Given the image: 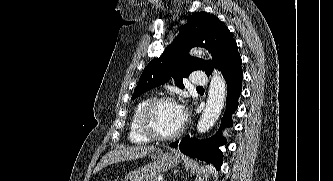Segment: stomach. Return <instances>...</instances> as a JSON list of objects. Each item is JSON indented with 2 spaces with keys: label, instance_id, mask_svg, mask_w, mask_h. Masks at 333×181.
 Segmentation results:
<instances>
[{
  "label": "stomach",
  "instance_id": "0dacf381",
  "mask_svg": "<svg viewBox=\"0 0 333 181\" xmlns=\"http://www.w3.org/2000/svg\"><path fill=\"white\" fill-rule=\"evenodd\" d=\"M152 161L129 172L122 181H153L164 172L179 163V157L173 153H163L158 149L150 155Z\"/></svg>",
  "mask_w": 333,
  "mask_h": 181
}]
</instances>
